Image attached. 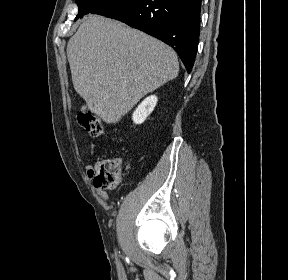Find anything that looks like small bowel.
I'll return each mask as SVG.
<instances>
[{"mask_svg":"<svg viewBox=\"0 0 288 280\" xmlns=\"http://www.w3.org/2000/svg\"><path fill=\"white\" fill-rule=\"evenodd\" d=\"M94 147H95L94 144H92L91 148L93 149ZM86 176L88 179H92L94 177V168L93 167H91V166L86 167ZM96 192L101 198H103L104 200H108L109 197L105 191L96 187Z\"/></svg>","mask_w":288,"mask_h":280,"instance_id":"obj_1","label":"small bowel"}]
</instances>
